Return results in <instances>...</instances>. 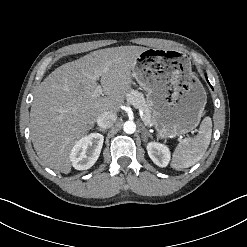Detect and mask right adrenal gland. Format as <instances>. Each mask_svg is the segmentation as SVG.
<instances>
[{"label": "right adrenal gland", "mask_w": 247, "mask_h": 247, "mask_svg": "<svg viewBox=\"0 0 247 247\" xmlns=\"http://www.w3.org/2000/svg\"><path fill=\"white\" fill-rule=\"evenodd\" d=\"M96 129H97L98 131L102 132V133H105V132H106V129H103V128L97 127Z\"/></svg>", "instance_id": "obj_1"}]
</instances>
